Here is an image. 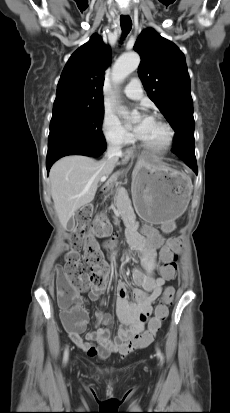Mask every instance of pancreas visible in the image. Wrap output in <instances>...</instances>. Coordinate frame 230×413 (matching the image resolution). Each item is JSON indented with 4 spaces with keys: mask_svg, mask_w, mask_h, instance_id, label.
I'll return each instance as SVG.
<instances>
[{
    "mask_svg": "<svg viewBox=\"0 0 230 413\" xmlns=\"http://www.w3.org/2000/svg\"><path fill=\"white\" fill-rule=\"evenodd\" d=\"M112 207H117L126 225H133L135 228H138L139 224L136 222V216L133 212L131 201L127 191L124 188L118 187L115 190L114 203Z\"/></svg>",
    "mask_w": 230,
    "mask_h": 413,
    "instance_id": "1",
    "label": "pancreas"
}]
</instances>
